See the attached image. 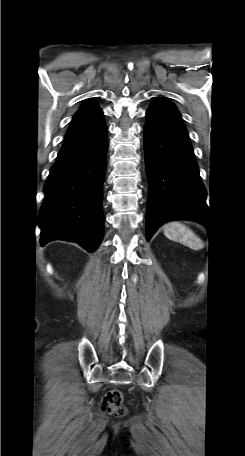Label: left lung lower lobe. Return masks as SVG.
<instances>
[{"label":"left lung lower lobe","instance_id":"0a47b994","mask_svg":"<svg viewBox=\"0 0 245 456\" xmlns=\"http://www.w3.org/2000/svg\"><path fill=\"white\" fill-rule=\"evenodd\" d=\"M144 153L149 184L146 237L165 222H203L206 190L199 176L193 147L174 105L157 97L146 113Z\"/></svg>","mask_w":245,"mask_h":456}]
</instances>
